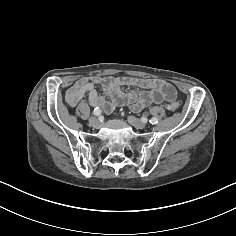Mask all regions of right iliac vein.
<instances>
[{"instance_id": "obj_1", "label": "right iliac vein", "mask_w": 236, "mask_h": 236, "mask_svg": "<svg viewBox=\"0 0 236 236\" xmlns=\"http://www.w3.org/2000/svg\"><path fill=\"white\" fill-rule=\"evenodd\" d=\"M89 124L93 127H97L99 125V121L96 117H90Z\"/></svg>"}]
</instances>
